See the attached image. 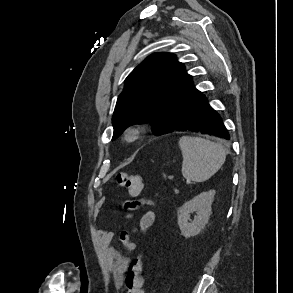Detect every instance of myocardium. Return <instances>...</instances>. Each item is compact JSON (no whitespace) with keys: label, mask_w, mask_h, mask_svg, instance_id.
Returning <instances> with one entry per match:
<instances>
[{"label":"myocardium","mask_w":293,"mask_h":293,"mask_svg":"<svg viewBox=\"0 0 293 293\" xmlns=\"http://www.w3.org/2000/svg\"><path fill=\"white\" fill-rule=\"evenodd\" d=\"M142 130L140 126L133 125L130 126L126 132H125V137L129 141H135L141 136Z\"/></svg>","instance_id":"1"}]
</instances>
